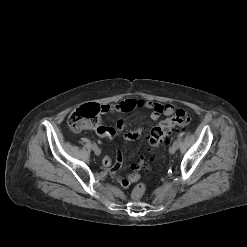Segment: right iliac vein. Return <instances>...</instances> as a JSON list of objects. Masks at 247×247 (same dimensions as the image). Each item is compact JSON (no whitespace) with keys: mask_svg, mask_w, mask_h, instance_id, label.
<instances>
[{"mask_svg":"<svg viewBox=\"0 0 247 247\" xmlns=\"http://www.w3.org/2000/svg\"><path fill=\"white\" fill-rule=\"evenodd\" d=\"M93 151L96 155H100L101 154V150L96 146L93 148Z\"/></svg>","mask_w":247,"mask_h":247,"instance_id":"right-iliac-vein-1","label":"right iliac vein"}]
</instances>
